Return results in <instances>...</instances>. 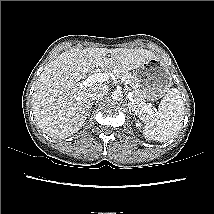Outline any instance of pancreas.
<instances>
[{"label": "pancreas", "instance_id": "obj_1", "mask_svg": "<svg viewBox=\"0 0 214 214\" xmlns=\"http://www.w3.org/2000/svg\"><path fill=\"white\" fill-rule=\"evenodd\" d=\"M114 73L117 76H119L120 78L123 77V78H126V79L130 80L129 89L133 92V95H135V93L137 92V84H136L134 76H132L128 71H124V70H121V69H115ZM129 103L131 105L132 111H134L136 114H139V115L145 114L144 107L146 106V103L137 102L135 99H133Z\"/></svg>", "mask_w": 214, "mask_h": 214}]
</instances>
